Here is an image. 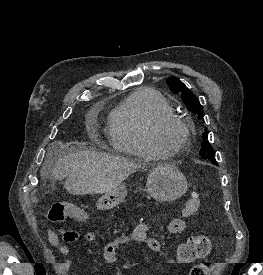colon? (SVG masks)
<instances>
[{"label": "colon", "instance_id": "obj_1", "mask_svg": "<svg viewBox=\"0 0 263 275\" xmlns=\"http://www.w3.org/2000/svg\"><path fill=\"white\" fill-rule=\"evenodd\" d=\"M200 207V199L197 193H193L182 210V215L189 217L194 215ZM49 219L53 222H63L67 219L86 221L89 216L84 210L69 203H56L50 209ZM212 243L208 236L197 235L190 237L182 243L177 250V261L179 263H192L209 255ZM215 263L204 261L195 265L189 275H209L214 269Z\"/></svg>", "mask_w": 263, "mask_h": 275}]
</instances>
